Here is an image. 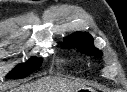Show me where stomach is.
Here are the masks:
<instances>
[{"label":"stomach","mask_w":127,"mask_h":92,"mask_svg":"<svg viewBox=\"0 0 127 92\" xmlns=\"http://www.w3.org/2000/svg\"><path fill=\"white\" fill-rule=\"evenodd\" d=\"M87 90H89V89H81L82 92L87 91ZM90 92H94V91L90 90Z\"/></svg>","instance_id":"1"}]
</instances>
